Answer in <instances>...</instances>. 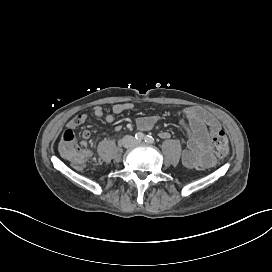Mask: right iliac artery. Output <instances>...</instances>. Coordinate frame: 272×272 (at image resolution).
<instances>
[{
  "label": "right iliac artery",
  "instance_id": "1",
  "mask_svg": "<svg viewBox=\"0 0 272 272\" xmlns=\"http://www.w3.org/2000/svg\"><path fill=\"white\" fill-rule=\"evenodd\" d=\"M144 138H145V136H144V134H143L142 132H137V133L135 134V139H136L137 141H142Z\"/></svg>",
  "mask_w": 272,
  "mask_h": 272
}]
</instances>
